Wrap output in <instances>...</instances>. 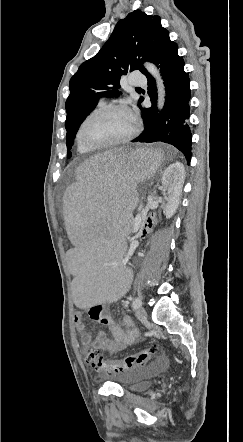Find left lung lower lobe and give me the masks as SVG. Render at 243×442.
<instances>
[{
    "mask_svg": "<svg viewBox=\"0 0 243 442\" xmlns=\"http://www.w3.org/2000/svg\"><path fill=\"white\" fill-rule=\"evenodd\" d=\"M152 62L158 65L165 81L166 102L158 114L155 80L145 71L152 106L150 108L140 106L145 128L132 142L161 141L171 144L185 155L189 164L192 135L186 119L190 115V81L188 74L184 71V60L178 55V46L170 40L169 36L164 39Z\"/></svg>",
    "mask_w": 243,
    "mask_h": 442,
    "instance_id": "1",
    "label": "left lung lower lobe"
}]
</instances>
